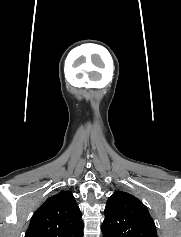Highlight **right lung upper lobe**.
Returning <instances> with one entry per match:
<instances>
[{"label": "right lung upper lobe", "mask_w": 181, "mask_h": 237, "mask_svg": "<svg viewBox=\"0 0 181 237\" xmlns=\"http://www.w3.org/2000/svg\"><path fill=\"white\" fill-rule=\"evenodd\" d=\"M80 209L70 191L49 197L33 214L25 237H81Z\"/></svg>", "instance_id": "obj_1"}]
</instances>
